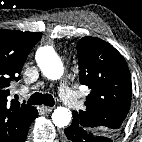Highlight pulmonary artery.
Segmentation results:
<instances>
[{
    "instance_id": "pulmonary-artery-1",
    "label": "pulmonary artery",
    "mask_w": 142,
    "mask_h": 142,
    "mask_svg": "<svg viewBox=\"0 0 142 142\" xmlns=\"http://www.w3.org/2000/svg\"><path fill=\"white\" fill-rule=\"evenodd\" d=\"M60 97L62 101L70 108H77L80 102L74 97L73 92L66 84L61 85L59 89Z\"/></svg>"
}]
</instances>
